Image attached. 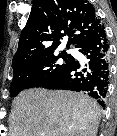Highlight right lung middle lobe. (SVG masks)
Returning <instances> with one entry per match:
<instances>
[{
  "mask_svg": "<svg viewBox=\"0 0 117 136\" xmlns=\"http://www.w3.org/2000/svg\"><path fill=\"white\" fill-rule=\"evenodd\" d=\"M73 59L62 51L58 56L50 55L13 69L10 95L16 96L25 89L38 87L41 83L64 69Z\"/></svg>",
  "mask_w": 117,
  "mask_h": 136,
  "instance_id": "1",
  "label": "right lung middle lobe"
}]
</instances>
